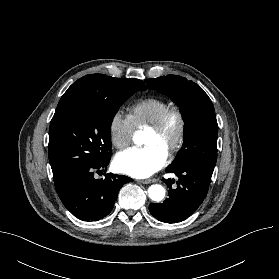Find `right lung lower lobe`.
<instances>
[{
  "instance_id": "obj_1",
  "label": "right lung lower lobe",
  "mask_w": 279,
  "mask_h": 279,
  "mask_svg": "<svg viewBox=\"0 0 279 279\" xmlns=\"http://www.w3.org/2000/svg\"><path fill=\"white\" fill-rule=\"evenodd\" d=\"M109 161L86 165L54 181L62 203L78 219L89 222L107 216L118 191L125 183L133 181L112 173L106 174L104 179L95 178L94 173L107 168Z\"/></svg>"
}]
</instances>
